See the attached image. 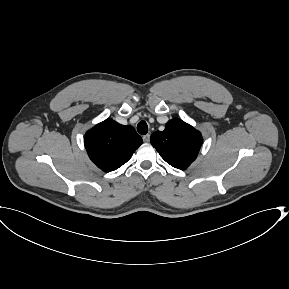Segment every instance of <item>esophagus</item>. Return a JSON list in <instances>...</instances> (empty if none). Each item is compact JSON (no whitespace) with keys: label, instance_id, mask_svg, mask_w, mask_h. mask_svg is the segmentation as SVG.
<instances>
[{"label":"esophagus","instance_id":"1","mask_svg":"<svg viewBox=\"0 0 289 289\" xmlns=\"http://www.w3.org/2000/svg\"><path fill=\"white\" fill-rule=\"evenodd\" d=\"M143 141L146 142V143L149 142L150 141V134L144 135L143 136Z\"/></svg>","mask_w":289,"mask_h":289}]
</instances>
